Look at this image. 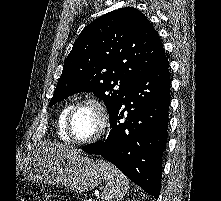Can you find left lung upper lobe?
Returning <instances> with one entry per match:
<instances>
[{
	"mask_svg": "<svg viewBox=\"0 0 221 201\" xmlns=\"http://www.w3.org/2000/svg\"><path fill=\"white\" fill-rule=\"evenodd\" d=\"M164 57L163 44L143 13L133 7L109 12L85 27L74 42L50 106L74 93L93 92L111 116Z\"/></svg>",
	"mask_w": 221,
	"mask_h": 201,
	"instance_id": "1",
	"label": "left lung upper lobe"
}]
</instances>
